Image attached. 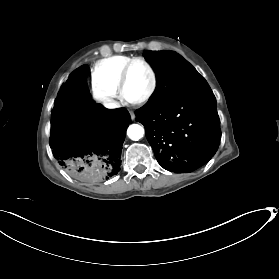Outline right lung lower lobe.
Wrapping results in <instances>:
<instances>
[{"instance_id": "right-lung-lower-lobe-1", "label": "right lung lower lobe", "mask_w": 279, "mask_h": 279, "mask_svg": "<svg viewBox=\"0 0 279 279\" xmlns=\"http://www.w3.org/2000/svg\"><path fill=\"white\" fill-rule=\"evenodd\" d=\"M87 66L61 87L51 114L50 147L70 176L97 183L120 171L121 149L130 115L126 108L106 109L91 98Z\"/></svg>"}]
</instances>
